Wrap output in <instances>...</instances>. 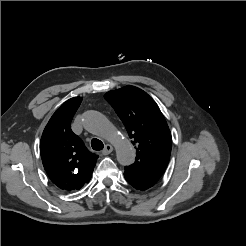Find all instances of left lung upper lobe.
Wrapping results in <instances>:
<instances>
[{
	"mask_svg": "<svg viewBox=\"0 0 246 246\" xmlns=\"http://www.w3.org/2000/svg\"><path fill=\"white\" fill-rule=\"evenodd\" d=\"M104 98L122 120L136 148L135 162L128 166L158 181L171 154L172 137L156 102L134 86L109 91Z\"/></svg>",
	"mask_w": 246,
	"mask_h": 246,
	"instance_id": "obj_1",
	"label": "left lung upper lobe"
}]
</instances>
